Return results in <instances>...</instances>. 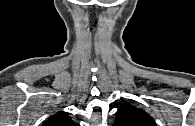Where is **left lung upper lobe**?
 Instances as JSON below:
<instances>
[{
    "instance_id": "5c2ea615",
    "label": "left lung upper lobe",
    "mask_w": 195,
    "mask_h": 126,
    "mask_svg": "<svg viewBox=\"0 0 195 126\" xmlns=\"http://www.w3.org/2000/svg\"><path fill=\"white\" fill-rule=\"evenodd\" d=\"M114 126H156V123L144 110L130 103H123L116 112Z\"/></svg>"
}]
</instances>
